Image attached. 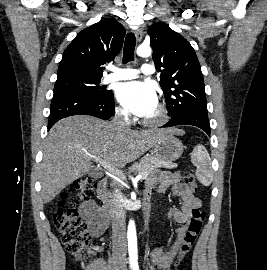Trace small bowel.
Segmentation results:
<instances>
[{
	"mask_svg": "<svg viewBox=\"0 0 267 270\" xmlns=\"http://www.w3.org/2000/svg\"><path fill=\"white\" fill-rule=\"evenodd\" d=\"M154 192L164 194L170 192L181 199L178 208H171L168 217L174 219L179 226L175 229V241L170 246L160 245L155 248L151 260L155 266L166 269L179 252L188 222L194 210L201 207V201L195 196L194 190L181 182L177 172H160L151 176L146 182L145 197L151 199ZM81 217L86 221L89 232L93 237L102 236L109 228V220L104 209L95 202H86L80 209Z\"/></svg>",
	"mask_w": 267,
	"mask_h": 270,
	"instance_id": "obj_1",
	"label": "small bowel"
}]
</instances>
